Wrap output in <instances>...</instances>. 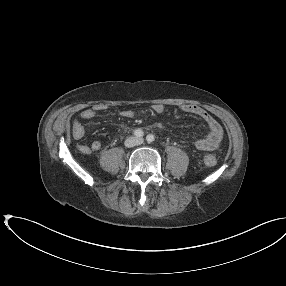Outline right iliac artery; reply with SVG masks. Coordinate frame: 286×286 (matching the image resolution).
Masks as SVG:
<instances>
[{"instance_id":"1","label":"right iliac artery","mask_w":286,"mask_h":286,"mask_svg":"<svg viewBox=\"0 0 286 286\" xmlns=\"http://www.w3.org/2000/svg\"><path fill=\"white\" fill-rule=\"evenodd\" d=\"M134 135H135L137 138H140V137H143L144 132H143L141 129H136V130L134 131Z\"/></svg>"}]
</instances>
